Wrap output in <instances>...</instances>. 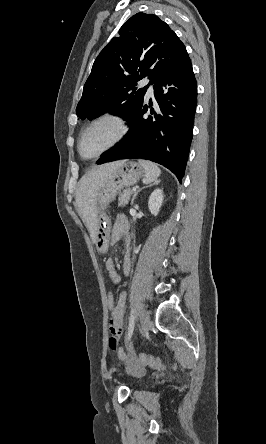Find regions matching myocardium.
Returning a JSON list of instances; mask_svg holds the SVG:
<instances>
[{"mask_svg": "<svg viewBox=\"0 0 266 444\" xmlns=\"http://www.w3.org/2000/svg\"><path fill=\"white\" fill-rule=\"evenodd\" d=\"M103 121H108L111 122L115 125L117 133L116 136L114 137V139L110 142V144L105 147L103 150L99 151L97 154L93 155V156H99L102 154L107 153L108 151L112 150L113 148H115L116 146H118L126 137L127 133H128V125L126 123V121L119 115L114 114V113H105V114H101L97 117H95L94 119H92L81 131L78 141H77V149L79 154L82 157H86V155L83 153L82 150V140L84 135L86 134V132L88 130H90L93 126H95L96 124L103 122Z\"/></svg>", "mask_w": 266, "mask_h": 444, "instance_id": "1", "label": "myocardium"}]
</instances>
